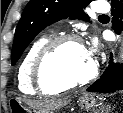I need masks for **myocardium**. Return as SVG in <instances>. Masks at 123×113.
Listing matches in <instances>:
<instances>
[{"label":"myocardium","mask_w":123,"mask_h":113,"mask_svg":"<svg viewBox=\"0 0 123 113\" xmlns=\"http://www.w3.org/2000/svg\"><path fill=\"white\" fill-rule=\"evenodd\" d=\"M67 43H78L82 45V39L75 34H64L51 38L38 52L32 67V76L36 86L43 90H68L82 86L92 81L98 72L97 65L92 61L91 71L83 78L72 82L53 81L46 72L49 60L57 51Z\"/></svg>","instance_id":"f54148a6"}]
</instances>
